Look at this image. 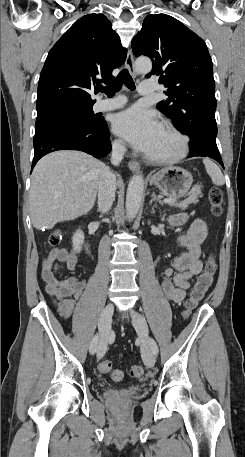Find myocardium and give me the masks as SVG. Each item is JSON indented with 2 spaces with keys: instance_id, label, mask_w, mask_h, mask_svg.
<instances>
[{
  "instance_id": "1",
  "label": "myocardium",
  "mask_w": 245,
  "mask_h": 457,
  "mask_svg": "<svg viewBox=\"0 0 245 457\" xmlns=\"http://www.w3.org/2000/svg\"><path fill=\"white\" fill-rule=\"evenodd\" d=\"M162 130L176 139L175 149L164 153H147L146 158L156 163H170L183 158L188 149L186 137L168 123L162 126Z\"/></svg>"
}]
</instances>
